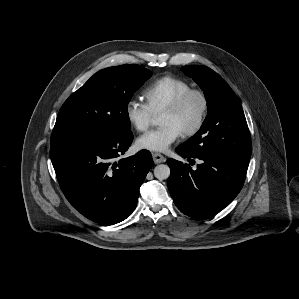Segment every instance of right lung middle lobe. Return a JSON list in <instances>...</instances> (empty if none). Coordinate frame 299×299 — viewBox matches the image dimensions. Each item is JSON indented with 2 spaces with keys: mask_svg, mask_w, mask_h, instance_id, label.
Instances as JSON below:
<instances>
[{
  "mask_svg": "<svg viewBox=\"0 0 299 299\" xmlns=\"http://www.w3.org/2000/svg\"><path fill=\"white\" fill-rule=\"evenodd\" d=\"M151 75L135 64L100 70L64 102L52 135L101 137L131 132L128 103Z\"/></svg>",
  "mask_w": 299,
  "mask_h": 299,
  "instance_id": "right-lung-middle-lobe-1",
  "label": "right lung middle lobe"
}]
</instances>
